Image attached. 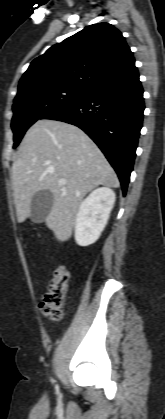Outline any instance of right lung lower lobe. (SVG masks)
Wrapping results in <instances>:
<instances>
[{"label": "right lung lower lobe", "mask_w": 165, "mask_h": 419, "mask_svg": "<svg viewBox=\"0 0 165 419\" xmlns=\"http://www.w3.org/2000/svg\"><path fill=\"white\" fill-rule=\"evenodd\" d=\"M143 89L138 70L131 66L79 100L49 112L42 119L78 126L99 146L115 169L126 194L142 128Z\"/></svg>", "instance_id": "1"}]
</instances>
